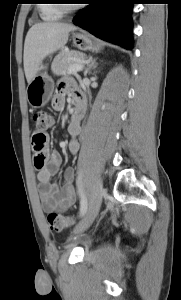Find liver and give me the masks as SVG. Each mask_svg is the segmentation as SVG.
I'll return each mask as SVG.
<instances>
[{"label":"liver","mask_w":181,"mask_h":300,"mask_svg":"<svg viewBox=\"0 0 181 300\" xmlns=\"http://www.w3.org/2000/svg\"><path fill=\"white\" fill-rule=\"evenodd\" d=\"M77 28L71 24L44 22L33 25L24 43V71L28 84L37 75L42 61L63 48L71 31Z\"/></svg>","instance_id":"6515ba94"}]
</instances>
